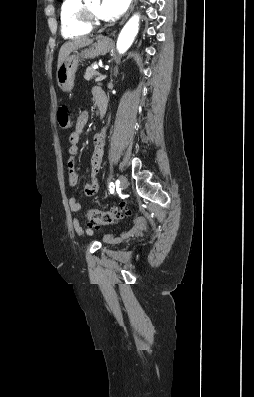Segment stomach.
I'll use <instances>...</instances> for the list:
<instances>
[{
	"label": "stomach",
	"mask_w": 254,
	"mask_h": 397,
	"mask_svg": "<svg viewBox=\"0 0 254 397\" xmlns=\"http://www.w3.org/2000/svg\"><path fill=\"white\" fill-rule=\"evenodd\" d=\"M112 42L106 37H100L89 48L69 54L57 68L58 86L63 91H71L74 86L75 73L81 58H95L110 51Z\"/></svg>",
	"instance_id": "0dacf381"
}]
</instances>
